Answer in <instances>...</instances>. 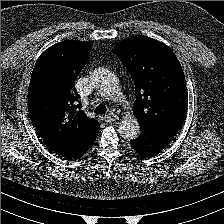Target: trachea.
Here are the masks:
<instances>
[{"mask_svg": "<svg viewBox=\"0 0 224 224\" xmlns=\"http://www.w3.org/2000/svg\"><path fill=\"white\" fill-rule=\"evenodd\" d=\"M107 111L106 107L103 104H100L96 107L95 112L105 114Z\"/></svg>", "mask_w": 224, "mask_h": 224, "instance_id": "1", "label": "trachea"}]
</instances>
